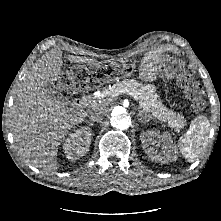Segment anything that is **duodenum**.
Returning a JSON list of instances; mask_svg holds the SVG:
<instances>
[{
	"instance_id": "obj_1",
	"label": "duodenum",
	"mask_w": 221,
	"mask_h": 221,
	"mask_svg": "<svg viewBox=\"0 0 221 221\" xmlns=\"http://www.w3.org/2000/svg\"><path fill=\"white\" fill-rule=\"evenodd\" d=\"M82 104H83V98H78V99H76V100L74 101V105H75L76 107H81Z\"/></svg>"
}]
</instances>
